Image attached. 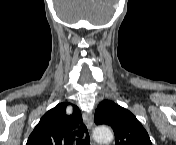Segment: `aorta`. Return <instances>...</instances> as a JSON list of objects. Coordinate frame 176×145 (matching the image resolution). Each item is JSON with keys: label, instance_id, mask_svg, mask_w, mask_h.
Wrapping results in <instances>:
<instances>
[{"label": "aorta", "instance_id": "aorta-1", "mask_svg": "<svg viewBox=\"0 0 176 145\" xmlns=\"http://www.w3.org/2000/svg\"><path fill=\"white\" fill-rule=\"evenodd\" d=\"M93 138L98 143H108L113 139V133L106 126H97L93 130Z\"/></svg>", "mask_w": 176, "mask_h": 145}]
</instances>
